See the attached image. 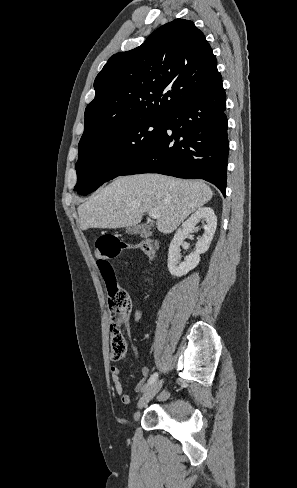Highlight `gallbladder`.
I'll list each match as a JSON object with an SVG mask.
<instances>
[{"instance_id":"gallbladder-1","label":"gallbladder","mask_w":297,"mask_h":488,"mask_svg":"<svg viewBox=\"0 0 297 488\" xmlns=\"http://www.w3.org/2000/svg\"><path fill=\"white\" fill-rule=\"evenodd\" d=\"M150 227L148 225H137V226H129L125 228V232L128 234H140L144 233L149 230Z\"/></svg>"}]
</instances>
